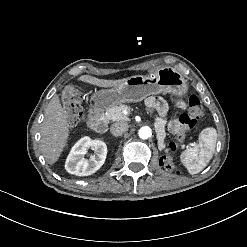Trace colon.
<instances>
[{
    "label": "colon",
    "instance_id": "obj_1",
    "mask_svg": "<svg viewBox=\"0 0 247 247\" xmlns=\"http://www.w3.org/2000/svg\"><path fill=\"white\" fill-rule=\"evenodd\" d=\"M63 109L72 124L80 122L82 119L81 95L79 91L73 87L66 88L61 96ZM188 113L182 114L178 120L181 127L175 138L177 142H169L167 148L169 155L161 160V165L168 171H179V165L173 159V155L179 149V143L184 141L188 133L194 129L193 124L201 117L203 108L199 98L196 95H190L188 99Z\"/></svg>",
    "mask_w": 247,
    "mask_h": 247
}]
</instances>
